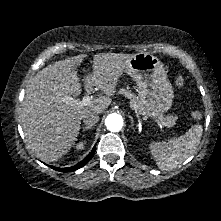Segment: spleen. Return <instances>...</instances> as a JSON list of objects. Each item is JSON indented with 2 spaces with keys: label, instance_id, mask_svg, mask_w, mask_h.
Wrapping results in <instances>:
<instances>
[{
  "label": "spleen",
  "instance_id": "1",
  "mask_svg": "<svg viewBox=\"0 0 221 221\" xmlns=\"http://www.w3.org/2000/svg\"><path fill=\"white\" fill-rule=\"evenodd\" d=\"M202 125L196 124L186 135L170 139L168 142H151V155L161 170H171L183 163L199 145L202 137Z\"/></svg>",
  "mask_w": 221,
  "mask_h": 221
}]
</instances>
